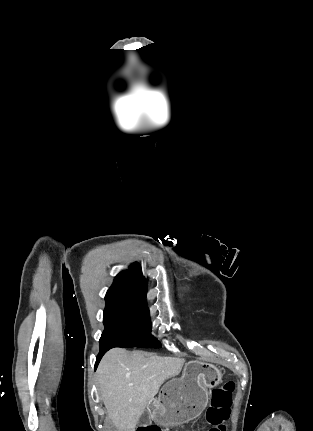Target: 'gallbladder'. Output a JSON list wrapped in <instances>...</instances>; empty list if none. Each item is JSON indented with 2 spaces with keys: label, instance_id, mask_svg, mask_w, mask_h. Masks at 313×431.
Segmentation results:
<instances>
[{
  "label": "gallbladder",
  "instance_id": "gallbladder-1",
  "mask_svg": "<svg viewBox=\"0 0 313 431\" xmlns=\"http://www.w3.org/2000/svg\"><path fill=\"white\" fill-rule=\"evenodd\" d=\"M141 422L144 425H147V424H149L151 422V418H150L149 413H147V412L143 413V415L141 416Z\"/></svg>",
  "mask_w": 313,
  "mask_h": 431
}]
</instances>
